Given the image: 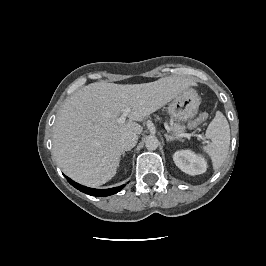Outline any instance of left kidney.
Listing matches in <instances>:
<instances>
[{
    "label": "left kidney",
    "instance_id": "1",
    "mask_svg": "<svg viewBox=\"0 0 266 266\" xmlns=\"http://www.w3.org/2000/svg\"><path fill=\"white\" fill-rule=\"evenodd\" d=\"M173 160L180 170L189 175L203 174L207 169L205 158L190 150L176 151L173 154Z\"/></svg>",
    "mask_w": 266,
    "mask_h": 266
}]
</instances>
